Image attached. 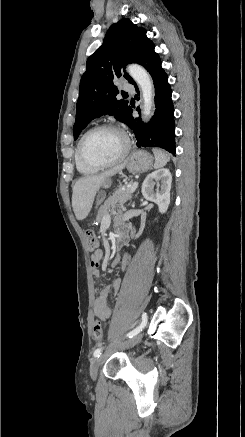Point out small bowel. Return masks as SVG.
Returning a JSON list of instances; mask_svg holds the SVG:
<instances>
[{"label":"small bowel","mask_w":245,"mask_h":437,"mask_svg":"<svg viewBox=\"0 0 245 437\" xmlns=\"http://www.w3.org/2000/svg\"><path fill=\"white\" fill-rule=\"evenodd\" d=\"M121 230H123V232L125 233L126 238H128L132 233L125 227L120 228ZM103 256V253L101 250H97L95 251V253L92 255L91 258V265L93 268V273L96 277H99V264H100V260ZM120 261V257H118V263ZM117 263V264H118ZM127 263V258L124 259V263H123V267L126 266ZM120 286V281L118 279L114 280L112 282V284H110L109 286H106L104 288H102L99 291V295L96 298L95 302H94V306H93V312L94 315L96 317H98L101 320H108L111 316V308L108 304L107 298L108 295L110 293V291H117L119 289Z\"/></svg>","instance_id":"small-bowel-1"}]
</instances>
